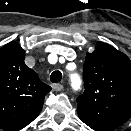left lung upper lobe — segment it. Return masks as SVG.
I'll use <instances>...</instances> for the list:
<instances>
[{
	"label": "left lung upper lobe",
	"instance_id": "left-lung-upper-lobe-1",
	"mask_svg": "<svg viewBox=\"0 0 131 131\" xmlns=\"http://www.w3.org/2000/svg\"><path fill=\"white\" fill-rule=\"evenodd\" d=\"M85 92L77 98L78 116L95 131H113L131 117V61L112 46L97 42L86 54Z\"/></svg>",
	"mask_w": 131,
	"mask_h": 131
}]
</instances>
